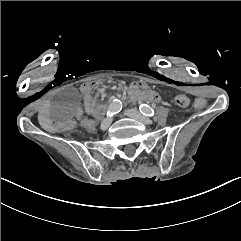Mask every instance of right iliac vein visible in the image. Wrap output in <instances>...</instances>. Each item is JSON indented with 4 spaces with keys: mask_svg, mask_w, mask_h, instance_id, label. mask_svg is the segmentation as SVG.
Masks as SVG:
<instances>
[{
    "mask_svg": "<svg viewBox=\"0 0 241 241\" xmlns=\"http://www.w3.org/2000/svg\"><path fill=\"white\" fill-rule=\"evenodd\" d=\"M112 122V118H106L102 121L100 128L102 130H106Z\"/></svg>",
    "mask_w": 241,
    "mask_h": 241,
    "instance_id": "63e3f726",
    "label": "right iliac vein"
}]
</instances>
